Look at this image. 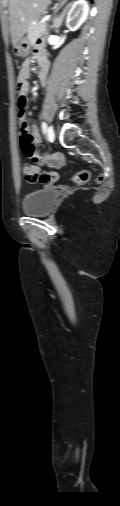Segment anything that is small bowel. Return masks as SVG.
Returning <instances> with one entry per match:
<instances>
[{"instance_id": "obj_1", "label": "small bowel", "mask_w": 120, "mask_h": 506, "mask_svg": "<svg viewBox=\"0 0 120 506\" xmlns=\"http://www.w3.org/2000/svg\"><path fill=\"white\" fill-rule=\"evenodd\" d=\"M33 58L38 62L40 70H39V82L42 86L46 84L47 80V73H48V60H47V54L44 48L41 45H37L33 50ZM41 58H44V62L41 63L39 60ZM31 72V60L27 59L23 62L20 72L18 75V82H22L25 91H27L28 84L27 79L30 76ZM41 72L43 73V77H40ZM25 131L30 134L33 139L35 145H38L40 143V134L36 126L30 127L28 124L26 125ZM21 132V130H20ZM33 159L39 161L41 165H47L51 167H60L63 162L64 158L61 154H44L43 152L39 151V155L32 157Z\"/></svg>"}]
</instances>
